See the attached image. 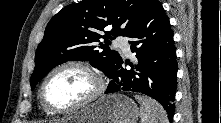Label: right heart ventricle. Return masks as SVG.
I'll list each match as a JSON object with an SVG mask.
<instances>
[{
	"mask_svg": "<svg viewBox=\"0 0 221 123\" xmlns=\"http://www.w3.org/2000/svg\"><path fill=\"white\" fill-rule=\"evenodd\" d=\"M43 110H44V112H45L46 115H51V114H53V113H50L49 111H47L44 107H43Z\"/></svg>",
	"mask_w": 221,
	"mask_h": 123,
	"instance_id": "obj_1",
	"label": "right heart ventricle"
}]
</instances>
